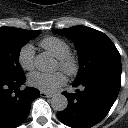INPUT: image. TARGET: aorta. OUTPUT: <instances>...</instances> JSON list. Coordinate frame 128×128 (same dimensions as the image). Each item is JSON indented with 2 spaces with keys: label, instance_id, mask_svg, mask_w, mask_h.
Returning <instances> with one entry per match:
<instances>
[{
  "label": "aorta",
  "instance_id": "aorta-1",
  "mask_svg": "<svg viewBox=\"0 0 128 128\" xmlns=\"http://www.w3.org/2000/svg\"><path fill=\"white\" fill-rule=\"evenodd\" d=\"M35 66L41 72H53L56 69V62L46 52L40 53L35 58ZM68 100L62 94H55L51 99V106L55 111H63L67 108Z\"/></svg>",
  "mask_w": 128,
  "mask_h": 128
}]
</instances>
